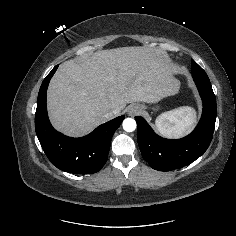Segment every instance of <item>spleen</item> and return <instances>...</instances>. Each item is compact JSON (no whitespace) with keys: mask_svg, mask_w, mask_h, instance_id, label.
I'll use <instances>...</instances> for the list:
<instances>
[{"mask_svg":"<svg viewBox=\"0 0 236 236\" xmlns=\"http://www.w3.org/2000/svg\"><path fill=\"white\" fill-rule=\"evenodd\" d=\"M195 121V110L189 106H182L159 115L155 126L161 135L168 138H178L189 132Z\"/></svg>","mask_w":236,"mask_h":236,"instance_id":"spleen-1","label":"spleen"}]
</instances>
